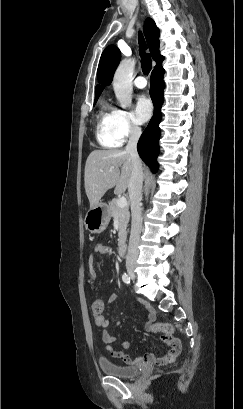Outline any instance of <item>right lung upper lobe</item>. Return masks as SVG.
Returning <instances> with one entry per match:
<instances>
[{
	"label": "right lung upper lobe",
	"mask_w": 243,
	"mask_h": 409,
	"mask_svg": "<svg viewBox=\"0 0 243 409\" xmlns=\"http://www.w3.org/2000/svg\"><path fill=\"white\" fill-rule=\"evenodd\" d=\"M144 33L152 58L158 63L163 58L159 52L160 32L156 27L155 22L151 18H147L144 22ZM120 59V50L114 45H109L103 51L97 70L99 85L96 86L95 97H99L104 89V86H107L112 82L114 72L120 62Z\"/></svg>",
	"instance_id": "obj_1"
}]
</instances>
